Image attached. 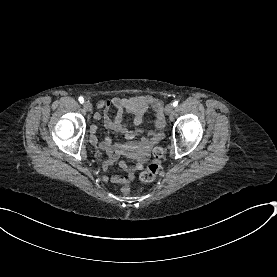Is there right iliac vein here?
Returning <instances> with one entry per match:
<instances>
[{"label":"right iliac vein","mask_w":277,"mask_h":277,"mask_svg":"<svg viewBox=\"0 0 277 277\" xmlns=\"http://www.w3.org/2000/svg\"><path fill=\"white\" fill-rule=\"evenodd\" d=\"M83 107L87 112L92 110V104L89 101L84 102Z\"/></svg>","instance_id":"right-iliac-vein-1"}]
</instances>
